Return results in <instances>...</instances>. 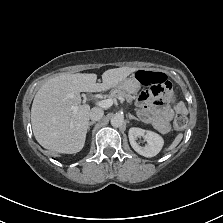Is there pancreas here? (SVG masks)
Masks as SVG:
<instances>
[{"label": "pancreas", "mask_w": 223, "mask_h": 223, "mask_svg": "<svg viewBox=\"0 0 223 223\" xmlns=\"http://www.w3.org/2000/svg\"><path fill=\"white\" fill-rule=\"evenodd\" d=\"M109 97H110V98L123 97V98L126 99V101H127L128 103H131V102L136 98V96H131V95L128 96L126 93H125V94H124L123 92L120 93L119 91L117 92V91L114 90V89H112V90L110 91Z\"/></svg>", "instance_id": "cf45deb5"}]
</instances>
